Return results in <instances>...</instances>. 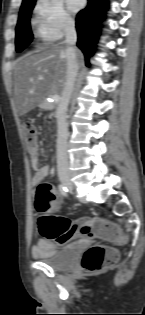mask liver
Returning a JSON list of instances; mask_svg holds the SVG:
<instances>
[{"mask_svg":"<svg viewBox=\"0 0 145 315\" xmlns=\"http://www.w3.org/2000/svg\"><path fill=\"white\" fill-rule=\"evenodd\" d=\"M76 56L78 64H82V53L76 50ZM66 66L65 47L60 44L45 45L21 57L14 69L16 112L25 115L48 95L62 94Z\"/></svg>","mask_w":145,"mask_h":315,"instance_id":"1","label":"liver"}]
</instances>
